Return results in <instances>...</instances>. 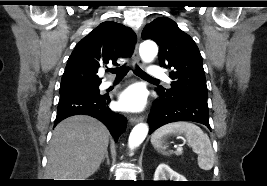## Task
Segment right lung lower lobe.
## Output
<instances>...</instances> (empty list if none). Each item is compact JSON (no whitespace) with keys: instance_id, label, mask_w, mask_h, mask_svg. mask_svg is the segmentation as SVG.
Listing matches in <instances>:
<instances>
[{"instance_id":"1","label":"right lung lower lobe","mask_w":267,"mask_h":186,"mask_svg":"<svg viewBox=\"0 0 267 186\" xmlns=\"http://www.w3.org/2000/svg\"><path fill=\"white\" fill-rule=\"evenodd\" d=\"M108 95H100L85 90H72L60 94L55 124L73 115H89L104 123L110 130L115 141L124 132L127 119L108 107Z\"/></svg>"}]
</instances>
